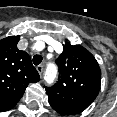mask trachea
Instances as JSON below:
<instances>
[{
	"label": "trachea",
	"instance_id": "trachea-1",
	"mask_svg": "<svg viewBox=\"0 0 117 117\" xmlns=\"http://www.w3.org/2000/svg\"><path fill=\"white\" fill-rule=\"evenodd\" d=\"M42 62V56L40 55H34L33 57V63L34 65H39Z\"/></svg>",
	"mask_w": 117,
	"mask_h": 117
}]
</instances>
